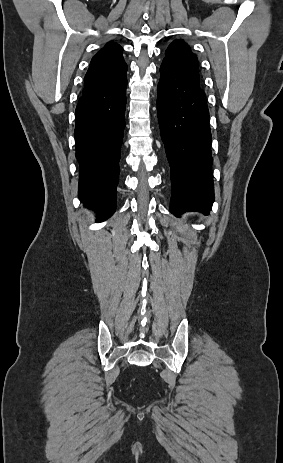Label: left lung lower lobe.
I'll return each mask as SVG.
<instances>
[{
  "mask_svg": "<svg viewBox=\"0 0 283 463\" xmlns=\"http://www.w3.org/2000/svg\"><path fill=\"white\" fill-rule=\"evenodd\" d=\"M157 111L171 168L170 210L209 212L214 200L211 133L205 93L168 61L160 67Z\"/></svg>",
  "mask_w": 283,
  "mask_h": 463,
  "instance_id": "1",
  "label": "left lung lower lobe"
}]
</instances>
